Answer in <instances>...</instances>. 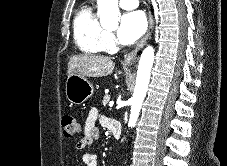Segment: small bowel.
<instances>
[{"mask_svg":"<svg viewBox=\"0 0 227 166\" xmlns=\"http://www.w3.org/2000/svg\"><path fill=\"white\" fill-rule=\"evenodd\" d=\"M109 118L100 115L97 108H92L88 112L87 119L83 129V136L76 145V149L81 151L93 145L100 136V131L96 126L97 121H101L109 127ZM81 160L84 166H97V154L86 152Z\"/></svg>","mask_w":227,"mask_h":166,"instance_id":"c3829d8e","label":"small bowel"}]
</instances>
